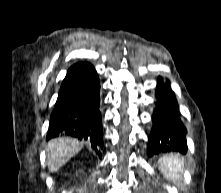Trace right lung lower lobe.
Segmentation results:
<instances>
[{"label": "right lung lower lobe", "instance_id": "obj_1", "mask_svg": "<svg viewBox=\"0 0 221 193\" xmlns=\"http://www.w3.org/2000/svg\"><path fill=\"white\" fill-rule=\"evenodd\" d=\"M100 81L93 66L85 63L63 81L50 118L47 139L72 136L85 141L97 154L103 147L100 116Z\"/></svg>", "mask_w": 221, "mask_h": 193}]
</instances>
